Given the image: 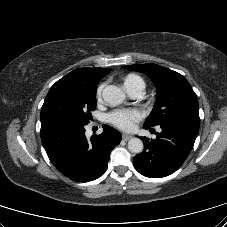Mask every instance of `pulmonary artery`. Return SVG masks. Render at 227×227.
Here are the masks:
<instances>
[{"mask_svg": "<svg viewBox=\"0 0 227 227\" xmlns=\"http://www.w3.org/2000/svg\"><path fill=\"white\" fill-rule=\"evenodd\" d=\"M145 85L140 83L133 87L127 88L128 93L134 97L139 98L144 94Z\"/></svg>", "mask_w": 227, "mask_h": 227, "instance_id": "1", "label": "pulmonary artery"}]
</instances>
